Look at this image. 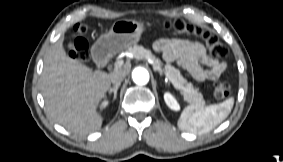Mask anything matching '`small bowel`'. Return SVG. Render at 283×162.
Masks as SVG:
<instances>
[{"mask_svg": "<svg viewBox=\"0 0 283 162\" xmlns=\"http://www.w3.org/2000/svg\"><path fill=\"white\" fill-rule=\"evenodd\" d=\"M154 49L162 53L166 62L177 63L200 82L217 79L226 69L223 61L210 57L198 42L161 38L155 42Z\"/></svg>", "mask_w": 283, "mask_h": 162, "instance_id": "c3829d8e", "label": "small bowel"}]
</instances>
